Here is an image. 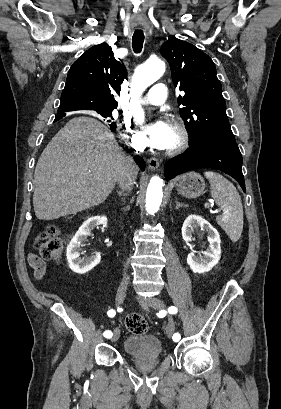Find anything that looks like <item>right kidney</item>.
Wrapping results in <instances>:
<instances>
[{"instance_id":"ca27d5eb","label":"right kidney","mask_w":281,"mask_h":409,"mask_svg":"<svg viewBox=\"0 0 281 409\" xmlns=\"http://www.w3.org/2000/svg\"><path fill=\"white\" fill-rule=\"evenodd\" d=\"M97 225H105V227H107L106 217H88L83 225L79 227L67 247L71 255V269L74 273H78V275L88 273V271H91V269H94V267L100 263V253H92L91 257H80L81 245L86 243L87 237L91 235Z\"/></svg>"}]
</instances>
